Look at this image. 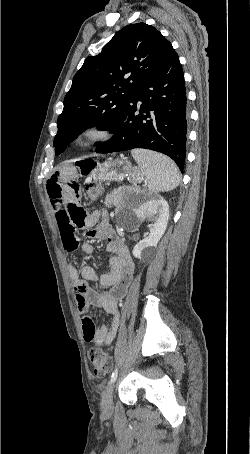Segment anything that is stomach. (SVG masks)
<instances>
[{
    "label": "stomach",
    "mask_w": 250,
    "mask_h": 454,
    "mask_svg": "<svg viewBox=\"0 0 250 454\" xmlns=\"http://www.w3.org/2000/svg\"><path fill=\"white\" fill-rule=\"evenodd\" d=\"M79 165L80 174L95 181H118L128 175L131 182H137L142 177L141 172L132 168L130 162L124 158L111 159L104 163L86 159L79 161Z\"/></svg>",
    "instance_id": "1"
}]
</instances>
